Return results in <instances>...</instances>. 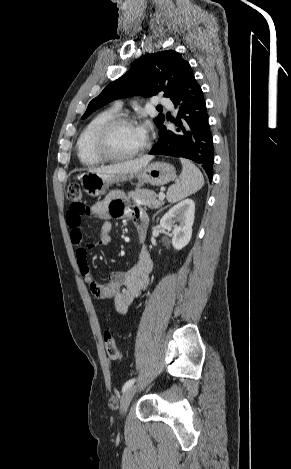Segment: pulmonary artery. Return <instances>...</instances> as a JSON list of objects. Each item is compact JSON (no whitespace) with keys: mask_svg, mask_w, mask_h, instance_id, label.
I'll list each match as a JSON object with an SVG mask.
<instances>
[{"mask_svg":"<svg viewBox=\"0 0 291 469\" xmlns=\"http://www.w3.org/2000/svg\"><path fill=\"white\" fill-rule=\"evenodd\" d=\"M155 104H159V105H163V106H166L168 108H172L173 107V104L172 102L170 101V99L168 98H164V97H159L155 100ZM121 107V103L120 102H117L116 103V108L119 109Z\"/></svg>","mask_w":291,"mask_h":469,"instance_id":"e3ab8cb5","label":"pulmonary artery"}]
</instances>
